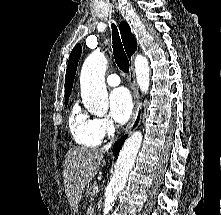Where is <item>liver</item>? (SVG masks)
<instances>
[{
    "instance_id": "liver-1",
    "label": "liver",
    "mask_w": 221,
    "mask_h": 215,
    "mask_svg": "<svg viewBox=\"0 0 221 215\" xmlns=\"http://www.w3.org/2000/svg\"><path fill=\"white\" fill-rule=\"evenodd\" d=\"M103 150L74 148L68 150L63 164V183L68 202L74 212L85 187L96 176L99 167L106 165Z\"/></svg>"
}]
</instances>
